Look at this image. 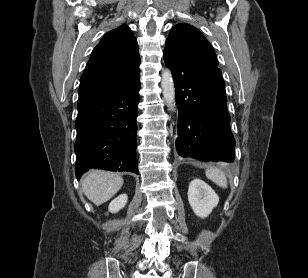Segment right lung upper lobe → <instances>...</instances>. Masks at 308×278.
<instances>
[{
	"label": "right lung upper lobe",
	"instance_id": "obj_1",
	"mask_svg": "<svg viewBox=\"0 0 308 278\" xmlns=\"http://www.w3.org/2000/svg\"><path fill=\"white\" fill-rule=\"evenodd\" d=\"M139 65L138 43L130 28L122 25L111 30L91 53L80 78L79 99L131 86L140 77Z\"/></svg>",
	"mask_w": 308,
	"mask_h": 278
}]
</instances>
